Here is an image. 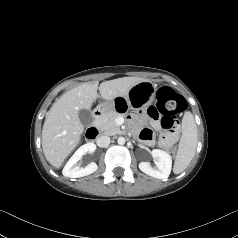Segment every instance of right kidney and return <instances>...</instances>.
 Instances as JSON below:
<instances>
[{"instance_id":"right-kidney-1","label":"right kidney","mask_w":238,"mask_h":238,"mask_svg":"<svg viewBox=\"0 0 238 238\" xmlns=\"http://www.w3.org/2000/svg\"><path fill=\"white\" fill-rule=\"evenodd\" d=\"M96 147L93 143H87L82 145L73 156L69 159L65 167L63 168V175L70 178H79L83 176L90 175L94 173L98 166L96 163L92 162L88 164L85 168L77 166V162L82 158L86 153H93Z\"/></svg>"}]
</instances>
